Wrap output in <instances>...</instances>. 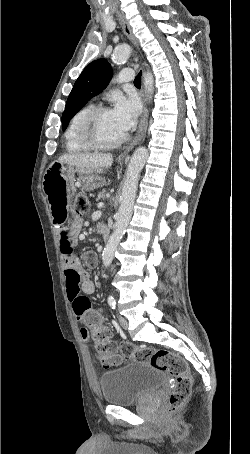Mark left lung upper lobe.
<instances>
[{
	"label": "left lung upper lobe",
	"instance_id": "5c2ea615",
	"mask_svg": "<svg viewBox=\"0 0 250 454\" xmlns=\"http://www.w3.org/2000/svg\"><path fill=\"white\" fill-rule=\"evenodd\" d=\"M113 75L111 65L106 59H98L85 67L76 80L67 99L62 115V128L65 130L69 120L95 95L106 88Z\"/></svg>",
	"mask_w": 250,
	"mask_h": 454
}]
</instances>
